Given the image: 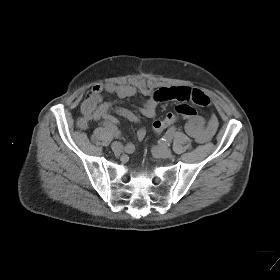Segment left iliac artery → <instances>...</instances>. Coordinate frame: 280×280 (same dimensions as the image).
Instances as JSON below:
<instances>
[{
    "label": "left iliac artery",
    "mask_w": 280,
    "mask_h": 280,
    "mask_svg": "<svg viewBox=\"0 0 280 280\" xmlns=\"http://www.w3.org/2000/svg\"><path fill=\"white\" fill-rule=\"evenodd\" d=\"M176 132V127L175 126H171L167 132L165 133L164 137L162 138V140L166 143H169L172 141L173 136L175 135Z\"/></svg>",
    "instance_id": "left-iliac-artery-1"
}]
</instances>
